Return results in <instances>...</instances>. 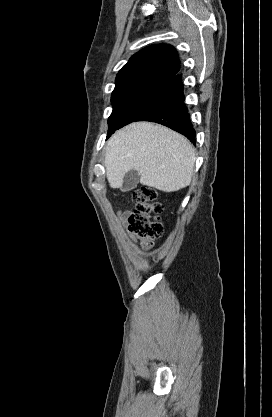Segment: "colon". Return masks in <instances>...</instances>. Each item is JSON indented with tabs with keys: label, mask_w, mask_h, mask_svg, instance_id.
<instances>
[{
	"label": "colon",
	"mask_w": 272,
	"mask_h": 417,
	"mask_svg": "<svg viewBox=\"0 0 272 417\" xmlns=\"http://www.w3.org/2000/svg\"><path fill=\"white\" fill-rule=\"evenodd\" d=\"M157 192L149 186H141L132 193L135 210L129 216V229L140 240L152 243L163 232L159 215L163 207L156 202Z\"/></svg>",
	"instance_id": "1"
}]
</instances>
